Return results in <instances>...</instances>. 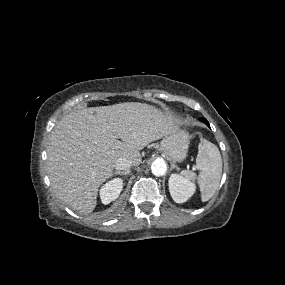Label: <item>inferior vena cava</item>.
<instances>
[{
	"mask_svg": "<svg viewBox=\"0 0 285 285\" xmlns=\"http://www.w3.org/2000/svg\"><path fill=\"white\" fill-rule=\"evenodd\" d=\"M131 166H133V162L131 160L128 159H124V158H119L116 160L114 167L116 170L119 171H127L131 168Z\"/></svg>",
	"mask_w": 285,
	"mask_h": 285,
	"instance_id": "obj_1",
	"label": "inferior vena cava"
}]
</instances>
